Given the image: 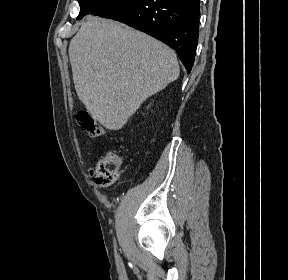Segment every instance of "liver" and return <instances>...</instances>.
I'll return each mask as SVG.
<instances>
[{"label":"liver","instance_id":"6515ba94","mask_svg":"<svg viewBox=\"0 0 288 280\" xmlns=\"http://www.w3.org/2000/svg\"><path fill=\"white\" fill-rule=\"evenodd\" d=\"M68 52L79 99L111 130L121 129L147 98L179 77L172 49L107 19L89 16Z\"/></svg>","mask_w":288,"mask_h":280}]
</instances>
